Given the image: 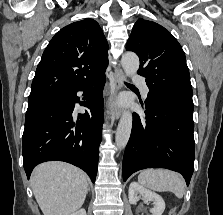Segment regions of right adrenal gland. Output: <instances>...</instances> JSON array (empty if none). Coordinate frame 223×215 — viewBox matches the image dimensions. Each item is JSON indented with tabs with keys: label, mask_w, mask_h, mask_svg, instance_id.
Masks as SVG:
<instances>
[{
	"label": "right adrenal gland",
	"mask_w": 223,
	"mask_h": 215,
	"mask_svg": "<svg viewBox=\"0 0 223 215\" xmlns=\"http://www.w3.org/2000/svg\"><path fill=\"white\" fill-rule=\"evenodd\" d=\"M88 191H90V187H87V193H88Z\"/></svg>",
	"instance_id": "obj_1"
}]
</instances>
